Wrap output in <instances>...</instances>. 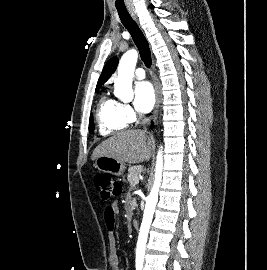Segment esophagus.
<instances>
[{
	"mask_svg": "<svg viewBox=\"0 0 267 270\" xmlns=\"http://www.w3.org/2000/svg\"><path fill=\"white\" fill-rule=\"evenodd\" d=\"M129 11H130L131 15L135 18V15H134L132 9H129ZM152 77H153V83H154L155 92H156V104H155V109H154V113H153V119H154V121H156L157 115L159 112L161 96H160V86H159V82H158V79L156 76V68H155L154 58L152 59Z\"/></svg>",
	"mask_w": 267,
	"mask_h": 270,
	"instance_id": "esophagus-1",
	"label": "esophagus"
}]
</instances>
